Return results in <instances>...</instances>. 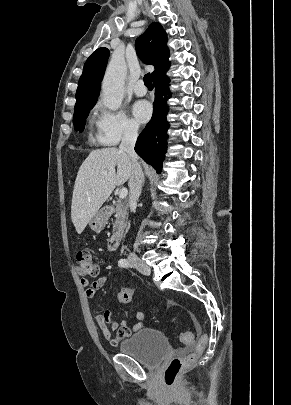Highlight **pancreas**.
Masks as SVG:
<instances>
[{
    "instance_id": "pancreas-1",
    "label": "pancreas",
    "mask_w": 291,
    "mask_h": 405,
    "mask_svg": "<svg viewBox=\"0 0 291 405\" xmlns=\"http://www.w3.org/2000/svg\"><path fill=\"white\" fill-rule=\"evenodd\" d=\"M115 212V222L113 225V231H117L122 229L126 226L127 222V213L123 208V205L120 200L115 203V208L113 210Z\"/></svg>"
}]
</instances>
